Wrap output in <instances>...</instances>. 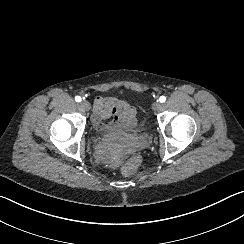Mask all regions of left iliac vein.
I'll return each instance as SVG.
<instances>
[{"instance_id":"left-iliac-vein-1","label":"left iliac vein","mask_w":244,"mask_h":244,"mask_svg":"<svg viewBox=\"0 0 244 244\" xmlns=\"http://www.w3.org/2000/svg\"><path fill=\"white\" fill-rule=\"evenodd\" d=\"M161 108H162V104L159 103V102H154L153 105H152V109H153L154 111H158V110H160Z\"/></svg>"}]
</instances>
